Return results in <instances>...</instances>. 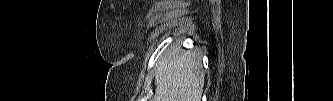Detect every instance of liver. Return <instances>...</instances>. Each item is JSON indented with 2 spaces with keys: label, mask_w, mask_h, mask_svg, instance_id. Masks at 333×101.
<instances>
[{
  "label": "liver",
  "mask_w": 333,
  "mask_h": 101,
  "mask_svg": "<svg viewBox=\"0 0 333 101\" xmlns=\"http://www.w3.org/2000/svg\"><path fill=\"white\" fill-rule=\"evenodd\" d=\"M204 80L201 56L174 48L162 58L156 71L153 101H200Z\"/></svg>",
  "instance_id": "obj_1"
}]
</instances>
